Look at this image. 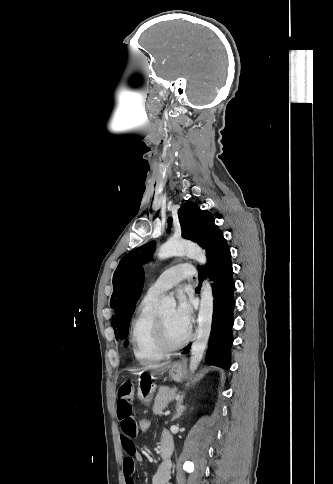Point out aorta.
I'll return each mask as SVG.
<instances>
[{"mask_svg": "<svg viewBox=\"0 0 333 484\" xmlns=\"http://www.w3.org/2000/svg\"><path fill=\"white\" fill-rule=\"evenodd\" d=\"M186 254L198 263L204 265L207 262L205 251L197 244L177 239H170L160 246L158 250L159 259L163 260L172 256ZM176 307L174 297H165L160 303V310L170 311ZM213 315V294L210 283L205 280L201 288L200 309L198 313L197 336L191 347L190 371L192 373L198 368L203 358L211 333Z\"/></svg>", "mask_w": 333, "mask_h": 484, "instance_id": "obj_1", "label": "aorta"}]
</instances>
